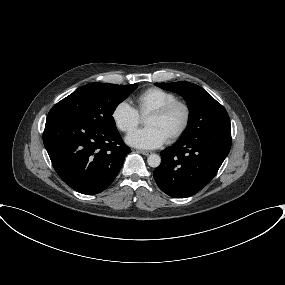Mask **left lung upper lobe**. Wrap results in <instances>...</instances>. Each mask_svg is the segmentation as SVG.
I'll list each match as a JSON object with an SVG mask.
<instances>
[{"label": "left lung upper lobe", "mask_w": 285, "mask_h": 285, "mask_svg": "<svg viewBox=\"0 0 285 285\" xmlns=\"http://www.w3.org/2000/svg\"><path fill=\"white\" fill-rule=\"evenodd\" d=\"M156 85L181 95L188 104L189 122L181 139L205 133L231 134L227 111L202 87L190 82L156 83Z\"/></svg>", "instance_id": "obj_1"}]
</instances>
